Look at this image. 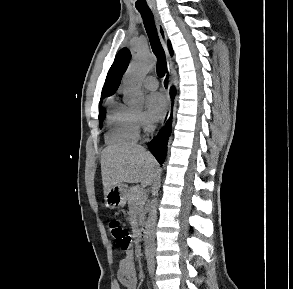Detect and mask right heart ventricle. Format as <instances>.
<instances>
[{
	"mask_svg": "<svg viewBox=\"0 0 293 289\" xmlns=\"http://www.w3.org/2000/svg\"><path fill=\"white\" fill-rule=\"evenodd\" d=\"M107 133L109 144L133 142L139 136L135 112L114 98L107 101Z\"/></svg>",
	"mask_w": 293,
	"mask_h": 289,
	"instance_id": "obj_1",
	"label": "right heart ventricle"
}]
</instances>
